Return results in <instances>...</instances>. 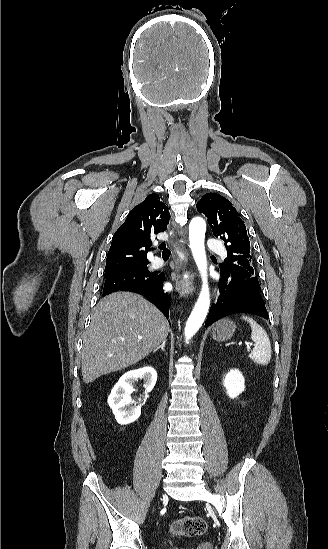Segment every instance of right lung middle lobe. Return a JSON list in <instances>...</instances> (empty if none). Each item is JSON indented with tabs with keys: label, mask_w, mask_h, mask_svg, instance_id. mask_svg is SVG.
Instances as JSON below:
<instances>
[{
	"label": "right lung middle lobe",
	"mask_w": 328,
	"mask_h": 549,
	"mask_svg": "<svg viewBox=\"0 0 328 549\" xmlns=\"http://www.w3.org/2000/svg\"><path fill=\"white\" fill-rule=\"evenodd\" d=\"M156 276L157 273L148 271L147 266L127 268L106 273L103 295L129 286L147 285L155 279Z\"/></svg>",
	"instance_id": "dd1d6c3e"
}]
</instances>
